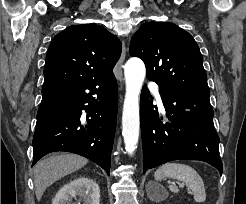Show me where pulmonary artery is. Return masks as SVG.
<instances>
[{
	"label": "pulmonary artery",
	"instance_id": "obj_1",
	"mask_svg": "<svg viewBox=\"0 0 246 204\" xmlns=\"http://www.w3.org/2000/svg\"><path fill=\"white\" fill-rule=\"evenodd\" d=\"M150 88L153 91V93H154L156 99L158 100V102H161V96H160L159 91H158V86L156 84H154V83H151L150 84Z\"/></svg>",
	"mask_w": 246,
	"mask_h": 204
}]
</instances>
